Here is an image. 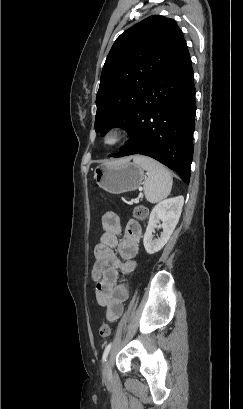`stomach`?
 Wrapping results in <instances>:
<instances>
[{
    "instance_id": "0dacf381",
    "label": "stomach",
    "mask_w": 243,
    "mask_h": 409,
    "mask_svg": "<svg viewBox=\"0 0 243 409\" xmlns=\"http://www.w3.org/2000/svg\"><path fill=\"white\" fill-rule=\"evenodd\" d=\"M94 179L103 190L121 194L140 187L144 179V169L130 159H122L95 167Z\"/></svg>"
}]
</instances>
